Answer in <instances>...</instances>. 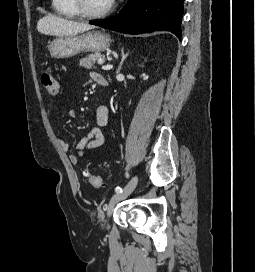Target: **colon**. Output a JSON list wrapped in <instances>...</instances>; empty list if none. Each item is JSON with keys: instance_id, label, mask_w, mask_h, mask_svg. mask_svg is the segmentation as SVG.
I'll return each mask as SVG.
<instances>
[{"instance_id": "1", "label": "colon", "mask_w": 255, "mask_h": 272, "mask_svg": "<svg viewBox=\"0 0 255 272\" xmlns=\"http://www.w3.org/2000/svg\"><path fill=\"white\" fill-rule=\"evenodd\" d=\"M41 82L45 91L49 95L56 96L59 93L60 90L59 80L54 74L53 70L51 69L46 70L41 76ZM86 177L93 187L99 188L103 186V180L100 176L87 172Z\"/></svg>"}]
</instances>
